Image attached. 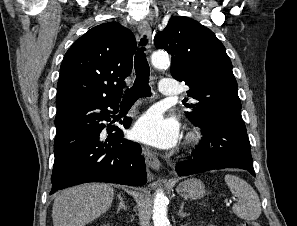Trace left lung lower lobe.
I'll return each instance as SVG.
<instances>
[{
	"instance_id": "left-lung-lower-lobe-1",
	"label": "left lung lower lobe",
	"mask_w": 297,
	"mask_h": 226,
	"mask_svg": "<svg viewBox=\"0 0 297 226\" xmlns=\"http://www.w3.org/2000/svg\"><path fill=\"white\" fill-rule=\"evenodd\" d=\"M203 138L192 159L176 165L179 176L214 169L240 168L255 176L250 142L244 121L214 118L200 125Z\"/></svg>"
}]
</instances>
